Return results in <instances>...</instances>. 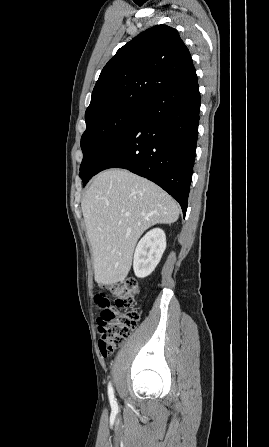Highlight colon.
Segmentation results:
<instances>
[{"instance_id": "colon-1", "label": "colon", "mask_w": 269, "mask_h": 447, "mask_svg": "<svg viewBox=\"0 0 269 447\" xmlns=\"http://www.w3.org/2000/svg\"><path fill=\"white\" fill-rule=\"evenodd\" d=\"M110 291L114 297L113 304L103 295L93 298L94 303L101 307L96 324L98 347L103 356H109L120 347L140 323V314L134 310L135 295L139 291L137 280L127 277L112 284Z\"/></svg>"}]
</instances>
